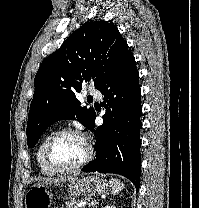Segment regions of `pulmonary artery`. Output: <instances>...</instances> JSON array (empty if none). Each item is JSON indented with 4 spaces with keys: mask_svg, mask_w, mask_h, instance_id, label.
I'll return each instance as SVG.
<instances>
[{
    "mask_svg": "<svg viewBox=\"0 0 199 208\" xmlns=\"http://www.w3.org/2000/svg\"><path fill=\"white\" fill-rule=\"evenodd\" d=\"M88 94L95 97L96 99L100 100L101 99V94L99 91L95 88H91L88 90Z\"/></svg>",
    "mask_w": 199,
    "mask_h": 208,
    "instance_id": "pulmonary-artery-1",
    "label": "pulmonary artery"
}]
</instances>
